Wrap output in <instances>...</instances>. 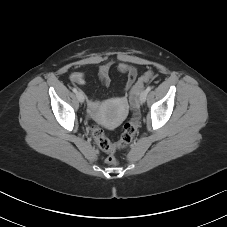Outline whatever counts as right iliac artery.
<instances>
[{
	"label": "right iliac artery",
	"instance_id": "1",
	"mask_svg": "<svg viewBox=\"0 0 227 227\" xmlns=\"http://www.w3.org/2000/svg\"><path fill=\"white\" fill-rule=\"evenodd\" d=\"M72 91H73L74 93H77V89H76V88H73Z\"/></svg>",
	"mask_w": 227,
	"mask_h": 227
}]
</instances>
